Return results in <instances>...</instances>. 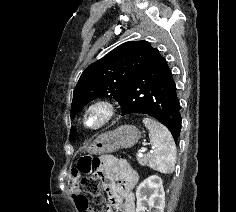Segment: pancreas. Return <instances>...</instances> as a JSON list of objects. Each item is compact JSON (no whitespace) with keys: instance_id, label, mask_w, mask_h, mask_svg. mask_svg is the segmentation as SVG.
<instances>
[{"instance_id":"obj_1","label":"pancreas","mask_w":236,"mask_h":212,"mask_svg":"<svg viewBox=\"0 0 236 212\" xmlns=\"http://www.w3.org/2000/svg\"><path fill=\"white\" fill-rule=\"evenodd\" d=\"M150 160H151L150 154H146L143 156H137V161L140 165H146L150 162Z\"/></svg>"}]
</instances>
